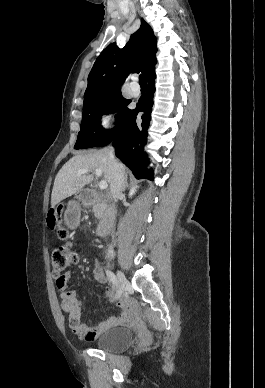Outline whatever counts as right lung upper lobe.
Segmentation results:
<instances>
[{
	"instance_id": "1",
	"label": "right lung upper lobe",
	"mask_w": 265,
	"mask_h": 388,
	"mask_svg": "<svg viewBox=\"0 0 265 388\" xmlns=\"http://www.w3.org/2000/svg\"><path fill=\"white\" fill-rule=\"evenodd\" d=\"M156 52L153 30L141 19L140 28L131 35L123 49L114 42L98 56L88 76L84 99L106 90L119 89L122 80L133 72L141 71L147 79L154 76Z\"/></svg>"
}]
</instances>
